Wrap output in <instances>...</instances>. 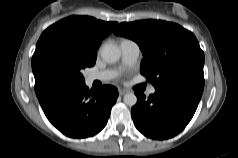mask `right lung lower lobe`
Returning a JSON list of instances; mask_svg holds the SVG:
<instances>
[{
    "mask_svg": "<svg viewBox=\"0 0 238 158\" xmlns=\"http://www.w3.org/2000/svg\"><path fill=\"white\" fill-rule=\"evenodd\" d=\"M35 92L48 120L63 134L73 138L93 136L106 125L118 91L104 85L89 90L85 83L53 75L35 78Z\"/></svg>",
    "mask_w": 238,
    "mask_h": 158,
    "instance_id": "1",
    "label": "right lung lower lobe"
}]
</instances>
